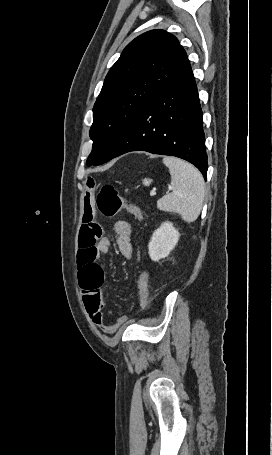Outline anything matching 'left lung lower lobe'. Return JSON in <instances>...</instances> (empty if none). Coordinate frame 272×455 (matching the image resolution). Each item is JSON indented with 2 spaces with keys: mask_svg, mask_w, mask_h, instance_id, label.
<instances>
[{
  "mask_svg": "<svg viewBox=\"0 0 272 455\" xmlns=\"http://www.w3.org/2000/svg\"><path fill=\"white\" fill-rule=\"evenodd\" d=\"M202 119L195 78L188 65L142 109L102 163L127 152L147 151L187 160L206 179Z\"/></svg>",
  "mask_w": 272,
  "mask_h": 455,
  "instance_id": "obj_1",
  "label": "left lung lower lobe"
}]
</instances>
